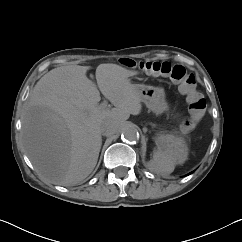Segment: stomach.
Instances as JSON below:
<instances>
[{
	"instance_id": "stomach-1",
	"label": "stomach",
	"mask_w": 242,
	"mask_h": 242,
	"mask_svg": "<svg viewBox=\"0 0 242 242\" xmlns=\"http://www.w3.org/2000/svg\"><path fill=\"white\" fill-rule=\"evenodd\" d=\"M138 92L141 96L142 102H144L155 114H162L169 109L163 87L139 85ZM153 139L159 150L173 152L179 154L184 160L186 159L187 146L182 139L168 134H157Z\"/></svg>"
}]
</instances>
